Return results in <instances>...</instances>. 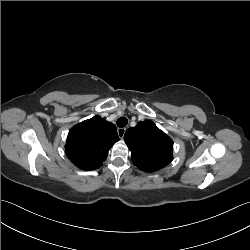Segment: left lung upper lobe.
<instances>
[{
  "mask_svg": "<svg viewBox=\"0 0 250 250\" xmlns=\"http://www.w3.org/2000/svg\"><path fill=\"white\" fill-rule=\"evenodd\" d=\"M131 159L140 170L152 172L168 165L172 159L173 141L152 121L137 123L124 135Z\"/></svg>",
  "mask_w": 250,
  "mask_h": 250,
  "instance_id": "5c2ea615",
  "label": "left lung upper lobe"
}]
</instances>
